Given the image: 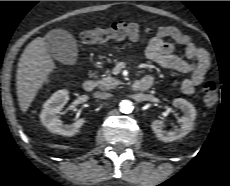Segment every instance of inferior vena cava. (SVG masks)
Segmentation results:
<instances>
[{
  "mask_svg": "<svg viewBox=\"0 0 230 186\" xmlns=\"http://www.w3.org/2000/svg\"><path fill=\"white\" fill-rule=\"evenodd\" d=\"M94 96L96 98H100V99H108L110 98L112 95L110 93H107V92H96L94 94Z\"/></svg>",
  "mask_w": 230,
  "mask_h": 186,
  "instance_id": "602c4592",
  "label": "inferior vena cava"
}]
</instances>
